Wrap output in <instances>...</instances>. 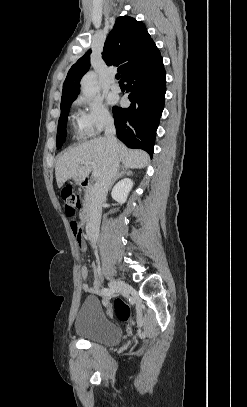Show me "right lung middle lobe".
I'll return each instance as SVG.
<instances>
[{
	"mask_svg": "<svg viewBox=\"0 0 247 407\" xmlns=\"http://www.w3.org/2000/svg\"><path fill=\"white\" fill-rule=\"evenodd\" d=\"M74 100L67 101L61 104V115L58 121V136L56 139L57 148H60L65 141L66 137V125H67V117L70 106Z\"/></svg>",
	"mask_w": 247,
	"mask_h": 407,
	"instance_id": "obj_1",
	"label": "right lung middle lobe"
}]
</instances>
